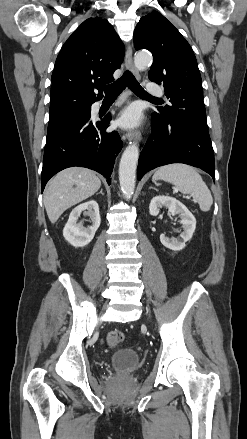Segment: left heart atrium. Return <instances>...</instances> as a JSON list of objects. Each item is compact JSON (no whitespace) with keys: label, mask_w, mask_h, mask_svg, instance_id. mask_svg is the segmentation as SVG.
I'll list each match as a JSON object with an SVG mask.
<instances>
[{"label":"left heart atrium","mask_w":247,"mask_h":439,"mask_svg":"<svg viewBox=\"0 0 247 439\" xmlns=\"http://www.w3.org/2000/svg\"><path fill=\"white\" fill-rule=\"evenodd\" d=\"M140 110L136 106L126 108L119 117V125L124 128H133L140 124Z\"/></svg>","instance_id":"39dd6f15"}]
</instances>
